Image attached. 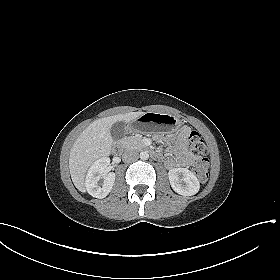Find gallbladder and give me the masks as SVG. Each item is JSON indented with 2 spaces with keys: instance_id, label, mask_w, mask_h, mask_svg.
Instances as JSON below:
<instances>
[{
  "instance_id": "1",
  "label": "gallbladder",
  "mask_w": 280,
  "mask_h": 280,
  "mask_svg": "<svg viewBox=\"0 0 280 280\" xmlns=\"http://www.w3.org/2000/svg\"><path fill=\"white\" fill-rule=\"evenodd\" d=\"M111 136L114 141L121 140L126 133V124L123 121H118L111 126Z\"/></svg>"
}]
</instances>
